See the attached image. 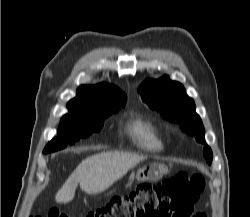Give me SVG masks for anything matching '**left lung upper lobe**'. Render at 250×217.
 <instances>
[{"label":"left lung upper lobe","instance_id":"5c2ea615","mask_svg":"<svg viewBox=\"0 0 250 217\" xmlns=\"http://www.w3.org/2000/svg\"><path fill=\"white\" fill-rule=\"evenodd\" d=\"M142 100L153 110L161 113L162 117L179 123L181 129L204 144L203 155L208 164L212 162V151L205 143L204 126L201 118L195 112L193 99L187 96L182 84L171 81L168 76L157 80L146 79L138 89Z\"/></svg>","mask_w":250,"mask_h":217}]
</instances>
